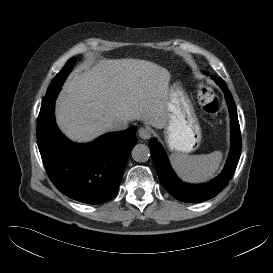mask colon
Instances as JSON below:
<instances>
[{
    "mask_svg": "<svg viewBox=\"0 0 273 273\" xmlns=\"http://www.w3.org/2000/svg\"><path fill=\"white\" fill-rule=\"evenodd\" d=\"M197 93L202 110L212 120H216L220 115V102L214 90L206 85H200Z\"/></svg>",
    "mask_w": 273,
    "mask_h": 273,
    "instance_id": "colon-1",
    "label": "colon"
}]
</instances>
